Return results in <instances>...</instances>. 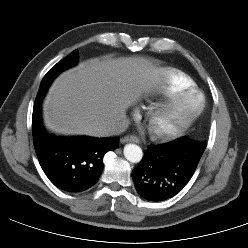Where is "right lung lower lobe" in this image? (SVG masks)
<instances>
[{
  "mask_svg": "<svg viewBox=\"0 0 248 248\" xmlns=\"http://www.w3.org/2000/svg\"><path fill=\"white\" fill-rule=\"evenodd\" d=\"M48 87L37 93L32 116L34 148L49 180L66 192L89 189L103 170V157L118 147L115 137H59L45 131L41 122V103Z\"/></svg>",
  "mask_w": 248,
  "mask_h": 248,
  "instance_id": "98d812e1",
  "label": "right lung lower lobe"
}]
</instances>
